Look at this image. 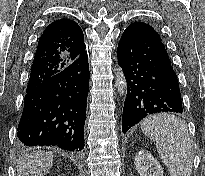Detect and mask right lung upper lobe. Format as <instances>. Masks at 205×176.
I'll return each mask as SVG.
<instances>
[{"label": "right lung upper lobe", "instance_id": "right-lung-upper-lobe-1", "mask_svg": "<svg viewBox=\"0 0 205 176\" xmlns=\"http://www.w3.org/2000/svg\"><path fill=\"white\" fill-rule=\"evenodd\" d=\"M85 52L84 35L75 21L52 22L39 39L26 91L61 72Z\"/></svg>", "mask_w": 205, "mask_h": 176}]
</instances>
